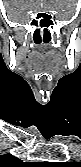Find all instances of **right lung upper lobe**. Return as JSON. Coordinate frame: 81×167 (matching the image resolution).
I'll return each mask as SVG.
<instances>
[{"mask_svg":"<svg viewBox=\"0 0 81 167\" xmlns=\"http://www.w3.org/2000/svg\"><path fill=\"white\" fill-rule=\"evenodd\" d=\"M1 164L3 167H33L34 164L24 163L22 160L12 155H1Z\"/></svg>","mask_w":81,"mask_h":167,"instance_id":"cb5924a9","label":"right lung upper lobe"}]
</instances>
